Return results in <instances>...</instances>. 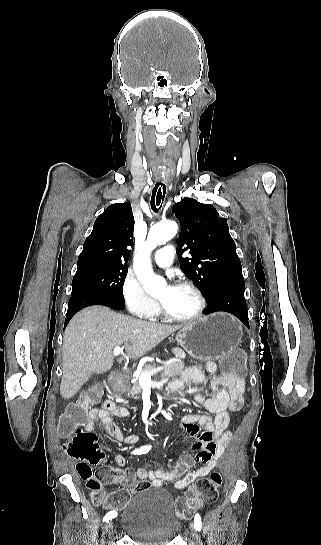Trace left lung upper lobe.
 I'll return each mask as SVG.
<instances>
[{"instance_id":"5c2ea615","label":"left lung upper lobe","mask_w":321,"mask_h":545,"mask_svg":"<svg viewBox=\"0 0 321 545\" xmlns=\"http://www.w3.org/2000/svg\"><path fill=\"white\" fill-rule=\"evenodd\" d=\"M172 212L181 225L177 241L182 271L196 283L204 296L219 280L242 274L236 245L224 218L209 204L191 198L176 203ZM189 251L191 258H183Z\"/></svg>"}]
</instances>
